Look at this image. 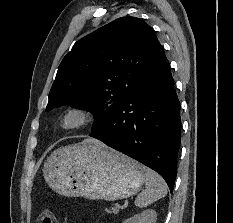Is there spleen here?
I'll return each mask as SVG.
<instances>
[{
    "instance_id": "1",
    "label": "spleen",
    "mask_w": 233,
    "mask_h": 223,
    "mask_svg": "<svg viewBox=\"0 0 233 223\" xmlns=\"http://www.w3.org/2000/svg\"><path fill=\"white\" fill-rule=\"evenodd\" d=\"M145 169L146 189L138 193L134 201L135 205H138V207H147V205H150L153 201H157L160 197H164L167 193V185L163 177L158 175L153 169H148V167H145Z\"/></svg>"
}]
</instances>
